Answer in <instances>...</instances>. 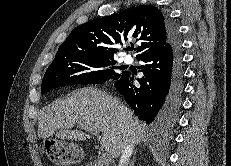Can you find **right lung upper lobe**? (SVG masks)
Masks as SVG:
<instances>
[{"instance_id":"cb5924a9","label":"right lung upper lobe","mask_w":231,"mask_h":166,"mask_svg":"<svg viewBox=\"0 0 231 166\" xmlns=\"http://www.w3.org/2000/svg\"><path fill=\"white\" fill-rule=\"evenodd\" d=\"M169 37L168 18L157 7L142 5L79 25L60 45L55 59L88 54L114 57L116 45L128 38L139 41L136 57L140 58L160 50Z\"/></svg>"}]
</instances>
